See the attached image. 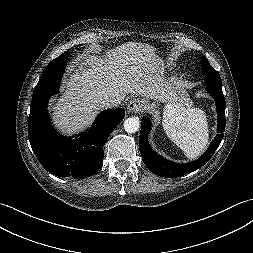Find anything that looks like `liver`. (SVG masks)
I'll return each instance as SVG.
<instances>
[{
	"instance_id": "1",
	"label": "liver",
	"mask_w": 253,
	"mask_h": 253,
	"mask_svg": "<svg viewBox=\"0 0 253 253\" xmlns=\"http://www.w3.org/2000/svg\"><path fill=\"white\" fill-rule=\"evenodd\" d=\"M160 58L145 43L128 42L98 55H85L72 66L63 96L53 105L55 126L67 133L91 123L102 109L100 100L115 98L120 103L127 94L165 101L167 89L160 84ZM183 96L171 99L165 111L183 106Z\"/></svg>"
}]
</instances>
